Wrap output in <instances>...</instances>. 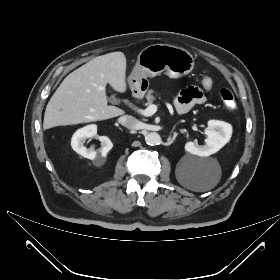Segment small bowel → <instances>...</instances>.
I'll return each mask as SVG.
<instances>
[{
  "mask_svg": "<svg viewBox=\"0 0 280 280\" xmlns=\"http://www.w3.org/2000/svg\"><path fill=\"white\" fill-rule=\"evenodd\" d=\"M205 100L206 96L199 88L188 87L178 95L176 109L179 113H185L193 106L204 103Z\"/></svg>",
  "mask_w": 280,
  "mask_h": 280,
  "instance_id": "c3829d8e",
  "label": "small bowel"
}]
</instances>
